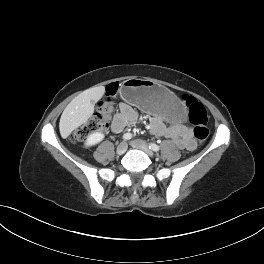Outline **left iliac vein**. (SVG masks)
<instances>
[{
  "label": "left iliac vein",
  "mask_w": 264,
  "mask_h": 264,
  "mask_svg": "<svg viewBox=\"0 0 264 264\" xmlns=\"http://www.w3.org/2000/svg\"><path fill=\"white\" fill-rule=\"evenodd\" d=\"M130 145L133 148L140 149V150L144 151L147 155H149L151 157L154 155V153L149 149L148 145L142 140H133L130 142Z\"/></svg>",
  "instance_id": "obj_1"
}]
</instances>
